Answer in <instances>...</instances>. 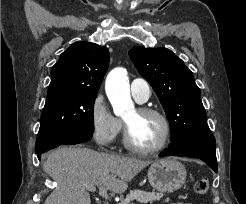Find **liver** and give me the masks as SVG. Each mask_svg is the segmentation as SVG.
Masks as SVG:
<instances>
[{"instance_id":"liver-1","label":"liver","mask_w":246,"mask_h":204,"mask_svg":"<svg viewBox=\"0 0 246 204\" xmlns=\"http://www.w3.org/2000/svg\"><path fill=\"white\" fill-rule=\"evenodd\" d=\"M151 163L88 148L60 147L43 163L44 171L57 182L44 204H91L87 185H104L114 193H124L128 183Z\"/></svg>"}]
</instances>
